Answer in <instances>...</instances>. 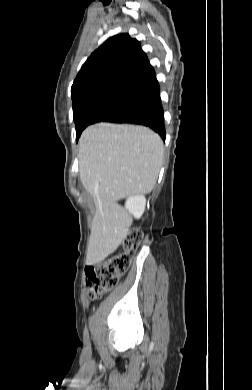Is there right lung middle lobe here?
Masks as SVG:
<instances>
[{
  "label": "right lung middle lobe",
  "instance_id": "1",
  "mask_svg": "<svg viewBox=\"0 0 252 390\" xmlns=\"http://www.w3.org/2000/svg\"><path fill=\"white\" fill-rule=\"evenodd\" d=\"M134 101L126 98H101L89 101L73 110L76 141L87 126L107 120L112 115L129 107Z\"/></svg>",
  "mask_w": 252,
  "mask_h": 390
}]
</instances>
